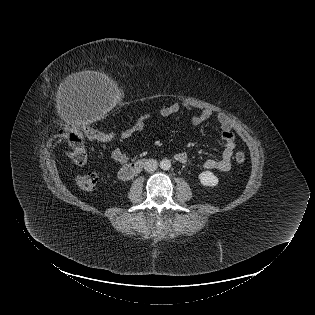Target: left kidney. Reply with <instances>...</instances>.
Returning <instances> with one entry per match:
<instances>
[{
    "label": "left kidney",
    "mask_w": 315,
    "mask_h": 315,
    "mask_svg": "<svg viewBox=\"0 0 315 315\" xmlns=\"http://www.w3.org/2000/svg\"><path fill=\"white\" fill-rule=\"evenodd\" d=\"M200 182L204 186H216L218 184V178L211 171H204L198 176Z\"/></svg>",
    "instance_id": "left-kidney-1"
}]
</instances>
